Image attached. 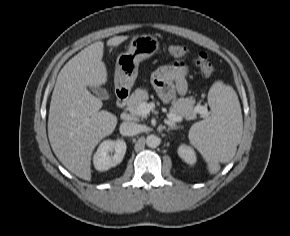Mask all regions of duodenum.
Instances as JSON below:
<instances>
[{
	"label": "duodenum",
	"instance_id": "1",
	"mask_svg": "<svg viewBox=\"0 0 290 236\" xmlns=\"http://www.w3.org/2000/svg\"><path fill=\"white\" fill-rule=\"evenodd\" d=\"M129 91L125 88H119L116 91V107L123 108L128 100Z\"/></svg>",
	"mask_w": 290,
	"mask_h": 236
}]
</instances>
